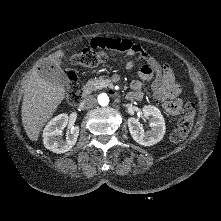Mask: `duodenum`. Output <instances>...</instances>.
<instances>
[{
  "instance_id": "410a0bca",
  "label": "duodenum",
  "mask_w": 221,
  "mask_h": 221,
  "mask_svg": "<svg viewBox=\"0 0 221 221\" xmlns=\"http://www.w3.org/2000/svg\"><path fill=\"white\" fill-rule=\"evenodd\" d=\"M89 93H90L89 87H88V86H85V87L83 88V90H82V94H81L82 98L87 97ZM125 98H126L127 100H135V99H136V96L134 95V93L129 92V93H127V94L125 95Z\"/></svg>"
}]
</instances>
